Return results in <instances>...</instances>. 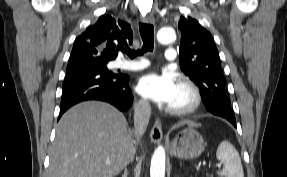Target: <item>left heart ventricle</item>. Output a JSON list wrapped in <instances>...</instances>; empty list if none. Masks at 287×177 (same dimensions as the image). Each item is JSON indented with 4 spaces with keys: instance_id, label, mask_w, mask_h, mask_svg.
I'll list each match as a JSON object with an SVG mask.
<instances>
[{
    "instance_id": "1",
    "label": "left heart ventricle",
    "mask_w": 287,
    "mask_h": 177,
    "mask_svg": "<svg viewBox=\"0 0 287 177\" xmlns=\"http://www.w3.org/2000/svg\"><path fill=\"white\" fill-rule=\"evenodd\" d=\"M186 101H187L186 93L181 88L178 87L168 105L179 106L186 103Z\"/></svg>"
}]
</instances>
